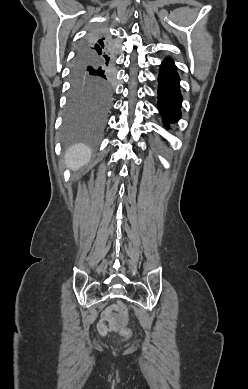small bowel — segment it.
Returning <instances> with one entry per match:
<instances>
[{
	"label": "small bowel",
	"mask_w": 248,
	"mask_h": 389,
	"mask_svg": "<svg viewBox=\"0 0 248 389\" xmlns=\"http://www.w3.org/2000/svg\"><path fill=\"white\" fill-rule=\"evenodd\" d=\"M115 309V306H110V307H107L104 311V316L105 317H111V314H112V311Z\"/></svg>",
	"instance_id": "small-bowel-1"
}]
</instances>
